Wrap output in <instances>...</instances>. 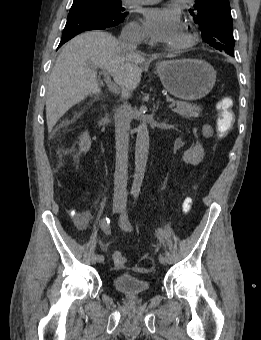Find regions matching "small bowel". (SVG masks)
<instances>
[{"instance_id":"obj_1","label":"small bowel","mask_w":261,"mask_h":340,"mask_svg":"<svg viewBox=\"0 0 261 340\" xmlns=\"http://www.w3.org/2000/svg\"><path fill=\"white\" fill-rule=\"evenodd\" d=\"M89 220V215L84 212L77 214L75 217L76 226L80 230H84L87 227Z\"/></svg>"}]
</instances>
